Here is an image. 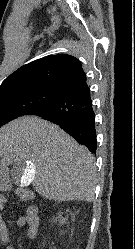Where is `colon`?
<instances>
[{
	"mask_svg": "<svg viewBox=\"0 0 135 249\" xmlns=\"http://www.w3.org/2000/svg\"><path fill=\"white\" fill-rule=\"evenodd\" d=\"M48 249H55V248H51V247H50V248H48Z\"/></svg>",
	"mask_w": 135,
	"mask_h": 249,
	"instance_id": "1",
	"label": "colon"
}]
</instances>
